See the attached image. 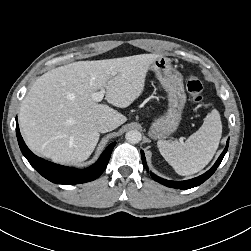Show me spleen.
I'll return each instance as SVG.
<instances>
[{"instance_id":"3e777b00","label":"spleen","mask_w":251,"mask_h":251,"mask_svg":"<svg viewBox=\"0 0 251 251\" xmlns=\"http://www.w3.org/2000/svg\"><path fill=\"white\" fill-rule=\"evenodd\" d=\"M222 135L219 112L207 114L203 125L185 142L159 140L157 147L164 159L182 176L202 170L213 158Z\"/></svg>"}]
</instances>
